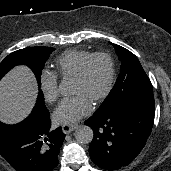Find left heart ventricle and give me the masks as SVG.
<instances>
[{
  "label": "left heart ventricle",
  "instance_id": "1",
  "mask_svg": "<svg viewBox=\"0 0 171 171\" xmlns=\"http://www.w3.org/2000/svg\"><path fill=\"white\" fill-rule=\"evenodd\" d=\"M109 76L108 62L103 57L94 59L82 80H72V93L85 96L93 102L105 88Z\"/></svg>",
  "mask_w": 171,
  "mask_h": 171
}]
</instances>
